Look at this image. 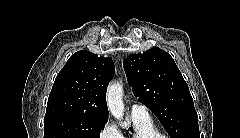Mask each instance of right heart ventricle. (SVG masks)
<instances>
[{"instance_id": "e07e8e85", "label": "right heart ventricle", "mask_w": 240, "mask_h": 138, "mask_svg": "<svg viewBox=\"0 0 240 138\" xmlns=\"http://www.w3.org/2000/svg\"><path fill=\"white\" fill-rule=\"evenodd\" d=\"M134 131L132 134L122 136L121 138H151L154 135L159 136V132L150 117L132 116Z\"/></svg>"}]
</instances>
